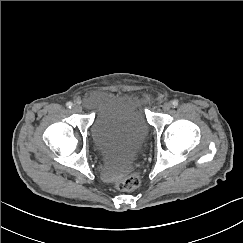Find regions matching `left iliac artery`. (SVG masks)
<instances>
[{
    "label": "left iliac artery",
    "mask_w": 243,
    "mask_h": 243,
    "mask_svg": "<svg viewBox=\"0 0 243 243\" xmlns=\"http://www.w3.org/2000/svg\"><path fill=\"white\" fill-rule=\"evenodd\" d=\"M171 104H172V106L175 108V107L178 106V101H177V100H173V101L171 102Z\"/></svg>",
    "instance_id": "1"
}]
</instances>
